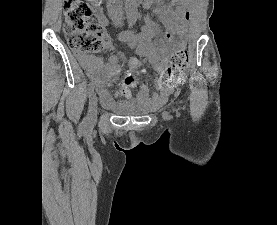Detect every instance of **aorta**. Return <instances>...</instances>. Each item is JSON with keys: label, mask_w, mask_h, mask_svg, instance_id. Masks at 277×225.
<instances>
[{"label": "aorta", "mask_w": 277, "mask_h": 225, "mask_svg": "<svg viewBox=\"0 0 277 225\" xmlns=\"http://www.w3.org/2000/svg\"><path fill=\"white\" fill-rule=\"evenodd\" d=\"M125 11L129 21H135L138 16L137 1L136 0H124Z\"/></svg>", "instance_id": "obj_1"}]
</instances>
